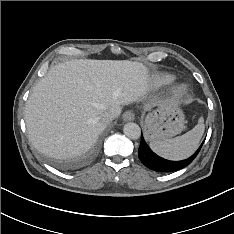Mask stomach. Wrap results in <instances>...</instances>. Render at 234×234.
<instances>
[{
    "label": "stomach",
    "instance_id": "1",
    "mask_svg": "<svg viewBox=\"0 0 234 234\" xmlns=\"http://www.w3.org/2000/svg\"><path fill=\"white\" fill-rule=\"evenodd\" d=\"M143 124L145 136L149 141H163L182 132L185 116L174 103L160 104L145 116Z\"/></svg>",
    "mask_w": 234,
    "mask_h": 234
}]
</instances>
